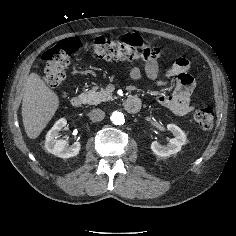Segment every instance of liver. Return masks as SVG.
<instances>
[{
	"label": "liver",
	"mask_w": 236,
	"mask_h": 236,
	"mask_svg": "<svg viewBox=\"0 0 236 236\" xmlns=\"http://www.w3.org/2000/svg\"><path fill=\"white\" fill-rule=\"evenodd\" d=\"M59 107V98L36 73L27 79L22 100V119L29 138H37Z\"/></svg>",
	"instance_id": "liver-1"
}]
</instances>
